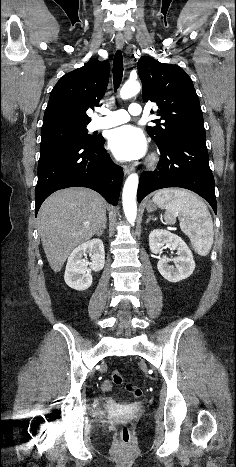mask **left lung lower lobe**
Here are the masks:
<instances>
[{
    "label": "left lung lower lobe",
    "instance_id": "left-lung-lower-lobe-1",
    "mask_svg": "<svg viewBox=\"0 0 236 467\" xmlns=\"http://www.w3.org/2000/svg\"><path fill=\"white\" fill-rule=\"evenodd\" d=\"M158 147L160 161L154 172L142 173L137 192L138 202L157 189L181 187L199 194L216 213L214 177L209 167L205 132L182 133L168 144Z\"/></svg>",
    "mask_w": 236,
    "mask_h": 467
}]
</instances>
